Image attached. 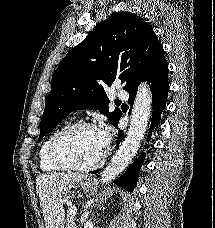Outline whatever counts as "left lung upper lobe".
<instances>
[{
    "label": "left lung upper lobe",
    "instance_id": "left-lung-upper-lobe-1",
    "mask_svg": "<svg viewBox=\"0 0 215 228\" xmlns=\"http://www.w3.org/2000/svg\"><path fill=\"white\" fill-rule=\"evenodd\" d=\"M162 49L153 28L131 12L112 14L68 52L53 73L39 138L76 109H98L117 125L121 112H109L108 86L119 78L129 91ZM119 61L120 64H119Z\"/></svg>",
    "mask_w": 215,
    "mask_h": 228
}]
</instances>
